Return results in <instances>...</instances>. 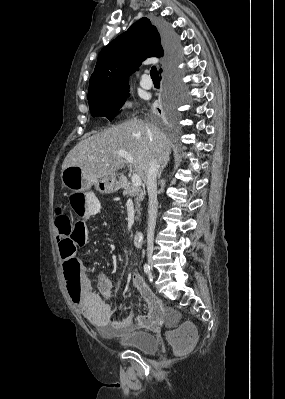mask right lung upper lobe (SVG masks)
Listing matches in <instances>:
<instances>
[{
    "label": "right lung upper lobe",
    "mask_w": 285,
    "mask_h": 399,
    "mask_svg": "<svg viewBox=\"0 0 285 399\" xmlns=\"http://www.w3.org/2000/svg\"><path fill=\"white\" fill-rule=\"evenodd\" d=\"M163 52L159 28L141 18L101 50L90 78L88 100L128 90V75L146 58L161 57Z\"/></svg>",
    "instance_id": "obj_1"
}]
</instances>
